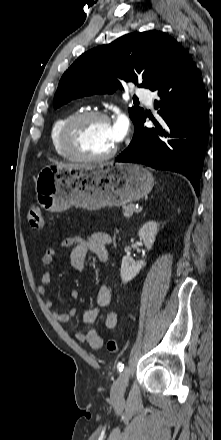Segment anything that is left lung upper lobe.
<instances>
[{
    "mask_svg": "<svg viewBox=\"0 0 221 440\" xmlns=\"http://www.w3.org/2000/svg\"><path fill=\"white\" fill-rule=\"evenodd\" d=\"M175 39L160 31L135 32L82 54L63 74L54 96L58 108L91 94L113 93L118 78L151 88L171 68L180 52ZM134 128L144 117L138 107L128 109Z\"/></svg>",
    "mask_w": 221,
    "mask_h": 440,
    "instance_id": "left-lung-upper-lobe-1",
    "label": "left lung upper lobe"
}]
</instances>
